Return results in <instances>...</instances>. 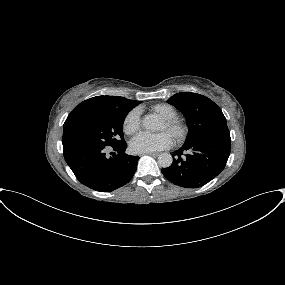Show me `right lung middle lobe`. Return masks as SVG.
<instances>
[{
    "mask_svg": "<svg viewBox=\"0 0 285 285\" xmlns=\"http://www.w3.org/2000/svg\"><path fill=\"white\" fill-rule=\"evenodd\" d=\"M130 110L104 111L84 118L68 130L62 140L63 147L72 145L114 147L123 144V122Z\"/></svg>",
    "mask_w": 285,
    "mask_h": 285,
    "instance_id": "dd1d6c3e",
    "label": "right lung middle lobe"
}]
</instances>
